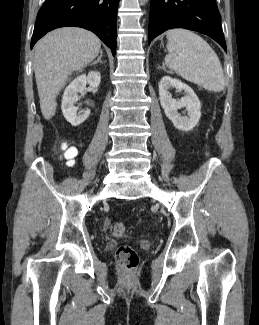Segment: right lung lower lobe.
<instances>
[{
    "instance_id": "right-lung-lower-lobe-1",
    "label": "right lung lower lobe",
    "mask_w": 259,
    "mask_h": 325,
    "mask_svg": "<svg viewBox=\"0 0 259 325\" xmlns=\"http://www.w3.org/2000/svg\"><path fill=\"white\" fill-rule=\"evenodd\" d=\"M119 0H45L38 12L31 48L47 32L66 26L94 32L116 53V22Z\"/></svg>"
}]
</instances>
